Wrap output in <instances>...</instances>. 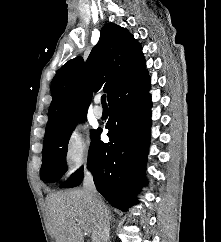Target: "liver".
Returning a JSON list of instances; mask_svg holds the SVG:
<instances>
[{"label": "liver", "mask_w": 221, "mask_h": 242, "mask_svg": "<svg viewBox=\"0 0 221 242\" xmlns=\"http://www.w3.org/2000/svg\"><path fill=\"white\" fill-rule=\"evenodd\" d=\"M47 209L50 235L56 242H84V228L94 241L95 215L84 189L50 194Z\"/></svg>", "instance_id": "1"}]
</instances>
